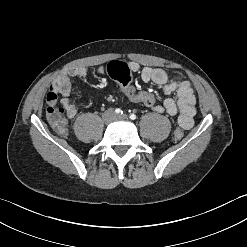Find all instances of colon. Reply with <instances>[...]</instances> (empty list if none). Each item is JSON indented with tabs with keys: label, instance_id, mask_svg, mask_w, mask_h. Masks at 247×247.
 <instances>
[{
	"label": "colon",
	"instance_id": "5ec220e1",
	"mask_svg": "<svg viewBox=\"0 0 247 247\" xmlns=\"http://www.w3.org/2000/svg\"><path fill=\"white\" fill-rule=\"evenodd\" d=\"M109 76L119 82L120 89L124 95L135 103L151 107L156 103L157 95L144 90H138L132 84V75L128 66L119 61L110 62L107 66ZM46 117L51 126L61 135L67 134V122L65 108L58 102V96L54 92L47 95ZM184 137V130L181 127L175 128L172 134L174 141H180Z\"/></svg>",
	"mask_w": 247,
	"mask_h": 247
}]
</instances>
